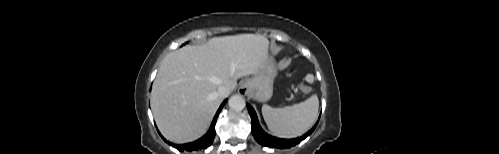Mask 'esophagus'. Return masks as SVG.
I'll use <instances>...</instances> for the list:
<instances>
[{"mask_svg":"<svg viewBox=\"0 0 499 154\" xmlns=\"http://www.w3.org/2000/svg\"><path fill=\"white\" fill-rule=\"evenodd\" d=\"M249 91V88L247 86V84H242L239 88V92L242 94V95H247Z\"/></svg>","mask_w":499,"mask_h":154,"instance_id":"1","label":"esophagus"}]
</instances>
